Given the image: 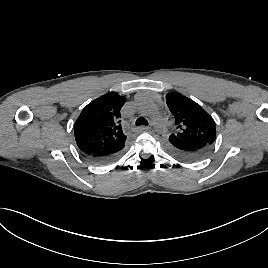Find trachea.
I'll return each mask as SVG.
<instances>
[{
  "label": "trachea",
  "mask_w": 268,
  "mask_h": 268,
  "mask_svg": "<svg viewBox=\"0 0 268 268\" xmlns=\"http://www.w3.org/2000/svg\"><path fill=\"white\" fill-rule=\"evenodd\" d=\"M145 125L148 126V121L144 117H139L136 120V126Z\"/></svg>",
  "instance_id": "3493384b"
}]
</instances>
